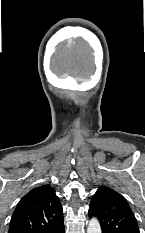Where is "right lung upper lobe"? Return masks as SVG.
Returning <instances> with one entry per match:
<instances>
[{
    "mask_svg": "<svg viewBox=\"0 0 145 233\" xmlns=\"http://www.w3.org/2000/svg\"><path fill=\"white\" fill-rule=\"evenodd\" d=\"M63 223V209L53 188L39 186L18 203L8 233H52Z\"/></svg>",
    "mask_w": 145,
    "mask_h": 233,
    "instance_id": "1",
    "label": "right lung upper lobe"
}]
</instances>
